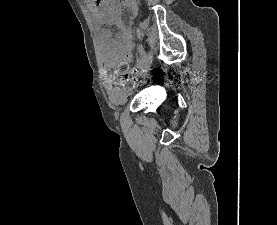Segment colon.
<instances>
[{"mask_svg": "<svg viewBox=\"0 0 277 225\" xmlns=\"http://www.w3.org/2000/svg\"><path fill=\"white\" fill-rule=\"evenodd\" d=\"M114 79L116 82L127 87L131 86L135 81V77L133 76V73L130 72L129 70V65L125 62L121 63L117 67L115 71Z\"/></svg>", "mask_w": 277, "mask_h": 225, "instance_id": "colon-1", "label": "colon"}]
</instances>
